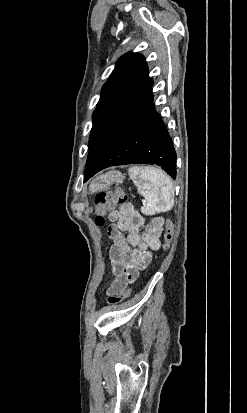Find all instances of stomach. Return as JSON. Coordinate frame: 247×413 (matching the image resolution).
<instances>
[{
	"instance_id": "obj_1",
	"label": "stomach",
	"mask_w": 247,
	"mask_h": 413,
	"mask_svg": "<svg viewBox=\"0 0 247 413\" xmlns=\"http://www.w3.org/2000/svg\"><path fill=\"white\" fill-rule=\"evenodd\" d=\"M124 174L119 170H108L104 174H98L95 178L90 180L88 190L90 194L93 192H99V190H108L112 184H122L124 182Z\"/></svg>"
}]
</instances>
